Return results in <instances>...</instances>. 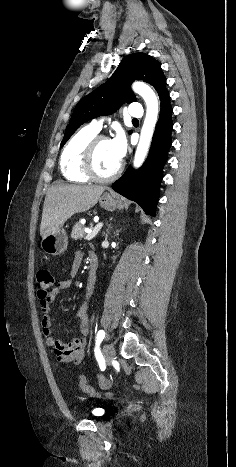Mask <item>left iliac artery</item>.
I'll return each mask as SVG.
<instances>
[{"instance_id": "obj_1", "label": "left iliac artery", "mask_w": 236, "mask_h": 467, "mask_svg": "<svg viewBox=\"0 0 236 467\" xmlns=\"http://www.w3.org/2000/svg\"><path fill=\"white\" fill-rule=\"evenodd\" d=\"M104 337H105L104 330H99L98 333H97V336H96V346H95V350H94L96 359L99 362V366H100L101 370H104L105 364L102 362L103 360H102V355H101L99 346H100L101 342L103 341Z\"/></svg>"}]
</instances>
